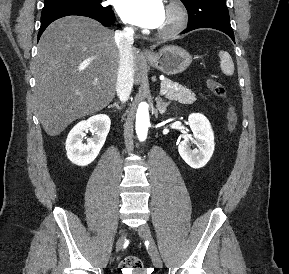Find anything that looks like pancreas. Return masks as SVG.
Returning a JSON list of instances; mask_svg holds the SVG:
<instances>
[{"label":"pancreas","mask_w":289,"mask_h":274,"mask_svg":"<svg viewBox=\"0 0 289 274\" xmlns=\"http://www.w3.org/2000/svg\"><path fill=\"white\" fill-rule=\"evenodd\" d=\"M161 89L167 91L165 94L166 98L182 104H192L197 100L196 95L190 89L170 79L161 81Z\"/></svg>","instance_id":"obj_1"}]
</instances>
